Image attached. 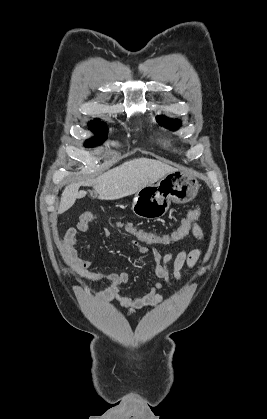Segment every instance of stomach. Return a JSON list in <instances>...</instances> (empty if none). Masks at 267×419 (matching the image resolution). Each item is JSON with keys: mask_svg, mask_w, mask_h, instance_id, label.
I'll use <instances>...</instances> for the list:
<instances>
[{"mask_svg": "<svg viewBox=\"0 0 267 419\" xmlns=\"http://www.w3.org/2000/svg\"><path fill=\"white\" fill-rule=\"evenodd\" d=\"M199 182L182 170L164 175L156 184H149L136 192L132 211L140 218L158 219L169 209L171 202L183 204L198 193Z\"/></svg>", "mask_w": 267, "mask_h": 419, "instance_id": "0dacf381", "label": "stomach"}]
</instances>
